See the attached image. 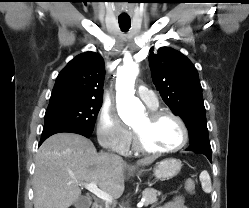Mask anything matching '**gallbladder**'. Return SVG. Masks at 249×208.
<instances>
[{"mask_svg":"<svg viewBox=\"0 0 249 208\" xmlns=\"http://www.w3.org/2000/svg\"><path fill=\"white\" fill-rule=\"evenodd\" d=\"M91 201L86 196H81L75 203V208H89Z\"/></svg>","mask_w":249,"mask_h":208,"instance_id":"1","label":"gallbladder"}]
</instances>
